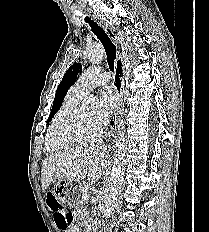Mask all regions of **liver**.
Instances as JSON below:
<instances>
[{
  "mask_svg": "<svg viewBox=\"0 0 209 232\" xmlns=\"http://www.w3.org/2000/svg\"><path fill=\"white\" fill-rule=\"evenodd\" d=\"M107 148L100 140L83 142L50 154L42 164L41 186L45 191L57 179L95 182L101 176Z\"/></svg>",
  "mask_w": 209,
  "mask_h": 232,
  "instance_id": "1",
  "label": "liver"
}]
</instances>
